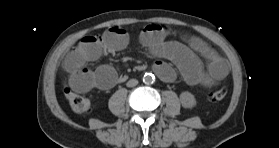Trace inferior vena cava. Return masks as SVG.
Masks as SVG:
<instances>
[{
    "label": "inferior vena cava",
    "mask_w": 279,
    "mask_h": 148,
    "mask_svg": "<svg viewBox=\"0 0 279 148\" xmlns=\"http://www.w3.org/2000/svg\"><path fill=\"white\" fill-rule=\"evenodd\" d=\"M138 84V80L136 79H130L128 82H127V87H134Z\"/></svg>",
    "instance_id": "obj_1"
}]
</instances>
